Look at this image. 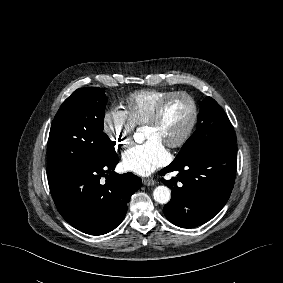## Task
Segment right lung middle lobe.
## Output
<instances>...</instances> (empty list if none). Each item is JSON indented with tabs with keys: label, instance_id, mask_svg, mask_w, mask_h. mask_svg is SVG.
I'll return each instance as SVG.
<instances>
[{
	"label": "right lung middle lobe",
	"instance_id": "right-lung-middle-lobe-1",
	"mask_svg": "<svg viewBox=\"0 0 283 283\" xmlns=\"http://www.w3.org/2000/svg\"><path fill=\"white\" fill-rule=\"evenodd\" d=\"M106 103L104 90L98 87L77 89L64 101L50 129L48 179L97 163L115 151L103 133Z\"/></svg>",
	"mask_w": 283,
	"mask_h": 283
}]
</instances>
